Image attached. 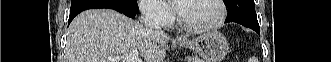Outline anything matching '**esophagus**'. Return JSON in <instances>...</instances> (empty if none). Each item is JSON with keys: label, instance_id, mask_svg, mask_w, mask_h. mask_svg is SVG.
<instances>
[{"label": "esophagus", "instance_id": "34e87169", "mask_svg": "<svg viewBox=\"0 0 331 62\" xmlns=\"http://www.w3.org/2000/svg\"><path fill=\"white\" fill-rule=\"evenodd\" d=\"M176 40H180V38L177 37Z\"/></svg>", "mask_w": 331, "mask_h": 62}]
</instances>
